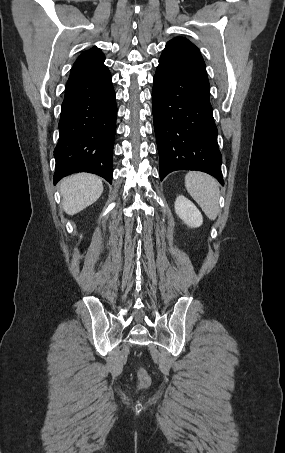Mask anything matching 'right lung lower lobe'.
Segmentation results:
<instances>
[{
  "mask_svg": "<svg viewBox=\"0 0 285 453\" xmlns=\"http://www.w3.org/2000/svg\"><path fill=\"white\" fill-rule=\"evenodd\" d=\"M116 115L108 68L74 65L61 106L54 184L77 172L94 173L112 183Z\"/></svg>",
  "mask_w": 285,
  "mask_h": 453,
  "instance_id": "obj_1",
  "label": "right lung lower lobe"
}]
</instances>
